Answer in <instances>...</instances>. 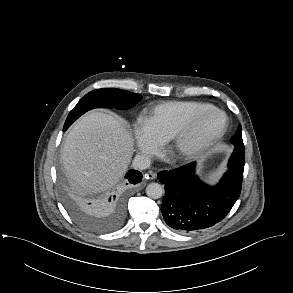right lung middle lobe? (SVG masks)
<instances>
[{
  "label": "right lung middle lobe",
  "instance_id": "1",
  "mask_svg": "<svg viewBox=\"0 0 293 293\" xmlns=\"http://www.w3.org/2000/svg\"><path fill=\"white\" fill-rule=\"evenodd\" d=\"M141 95L115 88L97 89L86 94L69 113L63 130L67 128L82 114L94 108H116L128 109L141 100ZM66 205L74 218L83 227L94 231H107L115 224L104 222V217H96V214L89 207L71 197L65 198ZM105 218H112L108 214Z\"/></svg>",
  "mask_w": 293,
  "mask_h": 293
}]
</instances>
